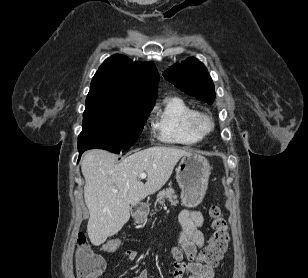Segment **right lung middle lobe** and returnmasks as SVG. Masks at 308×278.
I'll return each instance as SVG.
<instances>
[{"mask_svg":"<svg viewBox=\"0 0 308 278\" xmlns=\"http://www.w3.org/2000/svg\"><path fill=\"white\" fill-rule=\"evenodd\" d=\"M153 106L151 103L132 113L84 117L78 150L101 148L119 154L129 149L142 132Z\"/></svg>","mask_w":308,"mask_h":278,"instance_id":"obj_1","label":"right lung middle lobe"}]
</instances>
